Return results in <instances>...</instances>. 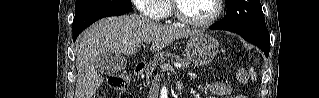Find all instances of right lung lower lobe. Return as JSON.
Wrapping results in <instances>:
<instances>
[{
  "instance_id": "right-lung-lower-lobe-1",
  "label": "right lung lower lobe",
  "mask_w": 319,
  "mask_h": 98,
  "mask_svg": "<svg viewBox=\"0 0 319 98\" xmlns=\"http://www.w3.org/2000/svg\"><path fill=\"white\" fill-rule=\"evenodd\" d=\"M131 10L129 9H102L97 11H90L75 15L73 21V41L76 40L78 35L90 26L92 23L98 19L109 17V16H118L125 14Z\"/></svg>"
}]
</instances>
